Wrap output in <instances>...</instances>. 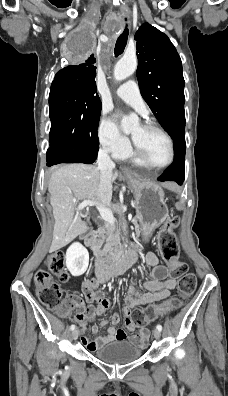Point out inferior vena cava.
<instances>
[{
    "instance_id": "1",
    "label": "inferior vena cava",
    "mask_w": 228,
    "mask_h": 396,
    "mask_svg": "<svg viewBox=\"0 0 228 396\" xmlns=\"http://www.w3.org/2000/svg\"><path fill=\"white\" fill-rule=\"evenodd\" d=\"M98 169L100 170V181L98 194L101 200H105L111 196L112 193V170L115 168V163L110 158L107 149L102 148L99 150Z\"/></svg>"
}]
</instances>
